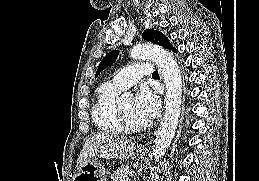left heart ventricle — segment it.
<instances>
[{"mask_svg":"<svg viewBox=\"0 0 259 181\" xmlns=\"http://www.w3.org/2000/svg\"><path fill=\"white\" fill-rule=\"evenodd\" d=\"M121 108L133 122L144 123L136 114L134 100L126 101Z\"/></svg>","mask_w":259,"mask_h":181,"instance_id":"1","label":"left heart ventricle"}]
</instances>
